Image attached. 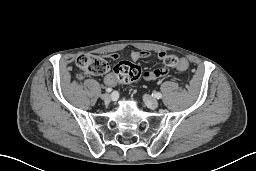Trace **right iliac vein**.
<instances>
[{
	"label": "right iliac vein",
	"mask_w": 256,
	"mask_h": 171,
	"mask_svg": "<svg viewBox=\"0 0 256 171\" xmlns=\"http://www.w3.org/2000/svg\"><path fill=\"white\" fill-rule=\"evenodd\" d=\"M110 98H111V96H110V94H108V93H105V94H103V95L101 96V99H102L104 102H109V101H110Z\"/></svg>",
	"instance_id": "1"
}]
</instances>
